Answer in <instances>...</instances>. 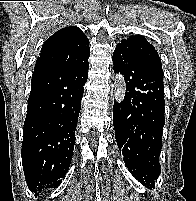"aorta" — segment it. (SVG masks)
Here are the masks:
<instances>
[{
    "label": "aorta",
    "mask_w": 196,
    "mask_h": 201,
    "mask_svg": "<svg viewBox=\"0 0 196 201\" xmlns=\"http://www.w3.org/2000/svg\"><path fill=\"white\" fill-rule=\"evenodd\" d=\"M114 84H115V89H114L115 100L118 103H121L124 100L126 95L125 80L122 74L120 73L116 74L114 79Z\"/></svg>",
    "instance_id": "762f6f07"
}]
</instances>
